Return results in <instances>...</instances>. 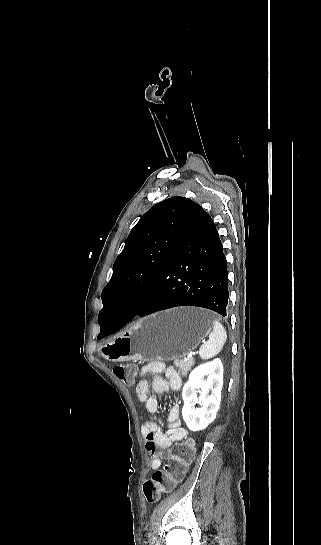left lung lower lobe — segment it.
<instances>
[{
  "label": "left lung lower lobe",
  "instance_id": "obj_1",
  "mask_svg": "<svg viewBox=\"0 0 321 545\" xmlns=\"http://www.w3.org/2000/svg\"><path fill=\"white\" fill-rule=\"evenodd\" d=\"M227 261L216 226L197 205L168 264L143 303L133 312L114 310L107 317L102 337L121 329L136 315L144 316L177 306H198L226 316Z\"/></svg>",
  "mask_w": 321,
  "mask_h": 545
}]
</instances>
